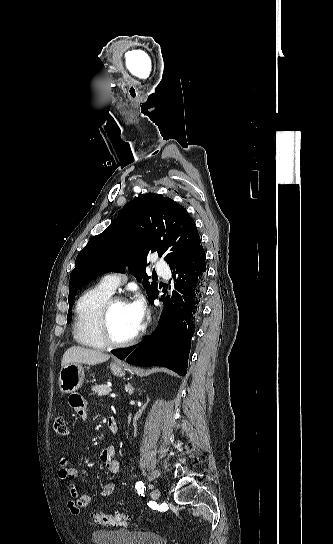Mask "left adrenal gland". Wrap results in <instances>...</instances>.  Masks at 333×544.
I'll list each match as a JSON object with an SVG mask.
<instances>
[{
    "label": "left adrenal gland",
    "mask_w": 333,
    "mask_h": 544,
    "mask_svg": "<svg viewBox=\"0 0 333 544\" xmlns=\"http://www.w3.org/2000/svg\"><path fill=\"white\" fill-rule=\"evenodd\" d=\"M125 388H126V391L129 393V395H132V394H133L134 388L131 386V384L128 383V384L125 386Z\"/></svg>",
    "instance_id": "left-adrenal-gland-1"
}]
</instances>
